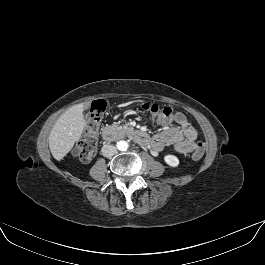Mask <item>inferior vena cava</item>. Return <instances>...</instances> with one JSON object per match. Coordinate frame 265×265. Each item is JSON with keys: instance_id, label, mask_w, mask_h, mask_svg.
I'll return each mask as SVG.
<instances>
[{"instance_id": "602c4592", "label": "inferior vena cava", "mask_w": 265, "mask_h": 265, "mask_svg": "<svg viewBox=\"0 0 265 265\" xmlns=\"http://www.w3.org/2000/svg\"><path fill=\"white\" fill-rule=\"evenodd\" d=\"M102 155L104 157H111L117 152V148L113 145H104L101 149Z\"/></svg>"}]
</instances>
